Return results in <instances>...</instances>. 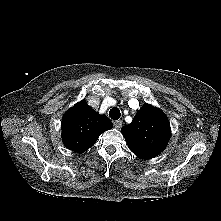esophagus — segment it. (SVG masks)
<instances>
[{
  "instance_id": "obj_1",
  "label": "esophagus",
  "mask_w": 221,
  "mask_h": 221,
  "mask_svg": "<svg viewBox=\"0 0 221 221\" xmlns=\"http://www.w3.org/2000/svg\"><path fill=\"white\" fill-rule=\"evenodd\" d=\"M114 126H115L116 128H120V127L122 126V120H116V121H114Z\"/></svg>"
}]
</instances>
